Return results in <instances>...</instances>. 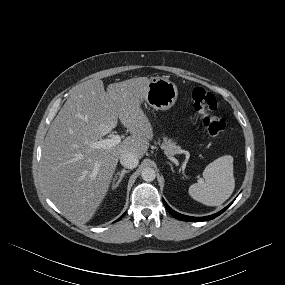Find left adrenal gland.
Instances as JSON below:
<instances>
[{
  "instance_id": "1",
  "label": "left adrenal gland",
  "mask_w": 285,
  "mask_h": 285,
  "mask_svg": "<svg viewBox=\"0 0 285 285\" xmlns=\"http://www.w3.org/2000/svg\"><path fill=\"white\" fill-rule=\"evenodd\" d=\"M168 164L170 165L172 172H174L172 164L170 162H168Z\"/></svg>"
}]
</instances>
